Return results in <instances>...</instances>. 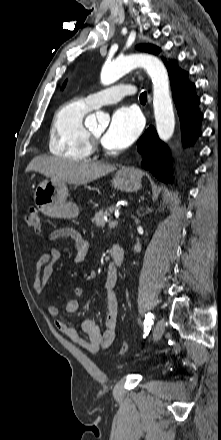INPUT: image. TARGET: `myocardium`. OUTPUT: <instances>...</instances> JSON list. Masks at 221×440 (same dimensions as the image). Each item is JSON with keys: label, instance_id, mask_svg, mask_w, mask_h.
Listing matches in <instances>:
<instances>
[{"label": "myocardium", "instance_id": "myocardium-1", "mask_svg": "<svg viewBox=\"0 0 221 440\" xmlns=\"http://www.w3.org/2000/svg\"><path fill=\"white\" fill-rule=\"evenodd\" d=\"M88 132V138L90 141V144L92 146V150H96L98 142H99V138L97 136H95L91 131L87 130Z\"/></svg>", "mask_w": 221, "mask_h": 440}]
</instances>
